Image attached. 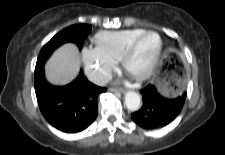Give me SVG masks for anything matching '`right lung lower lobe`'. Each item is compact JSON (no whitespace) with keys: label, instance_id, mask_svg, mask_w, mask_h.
<instances>
[{"label":"right lung lower lobe","instance_id":"1","mask_svg":"<svg viewBox=\"0 0 225 155\" xmlns=\"http://www.w3.org/2000/svg\"><path fill=\"white\" fill-rule=\"evenodd\" d=\"M106 88L89 82L82 71L66 86H53L43 76V65L35 68V92L39 108L55 128L76 133L86 129L97 116V98Z\"/></svg>","mask_w":225,"mask_h":155}]
</instances>
